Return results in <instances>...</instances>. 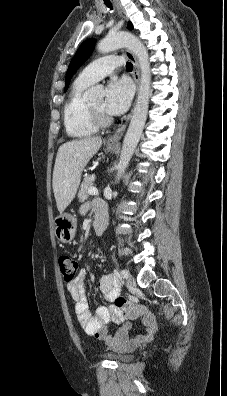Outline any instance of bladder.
Masks as SVG:
<instances>
[{
    "label": "bladder",
    "mask_w": 227,
    "mask_h": 396,
    "mask_svg": "<svg viewBox=\"0 0 227 396\" xmlns=\"http://www.w3.org/2000/svg\"><path fill=\"white\" fill-rule=\"evenodd\" d=\"M105 357L117 362H126L131 359L132 355L130 352H117V353H108L105 355Z\"/></svg>",
    "instance_id": "1"
}]
</instances>
